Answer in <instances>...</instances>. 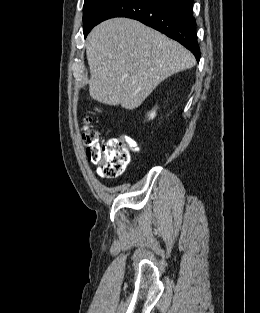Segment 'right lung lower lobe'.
Masks as SVG:
<instances>
[{
	"label": "right lung lower lobe",
	"mask_w": 260,
	"mask_h": 313,
	"mask_svg": "<svg viewBox=\"0 0 260 313\" xmlns=\"http://www.w3.org/2000/svg\"><path fill=\"white\" fill-rule=\"evenodd\" d=\"M192 9L193 0H117L97 24L114 17L139 20L184 45L199 61L200 48Z\"/></svg>",
	"instance_id": "98d812e1"
}]
</instances>
